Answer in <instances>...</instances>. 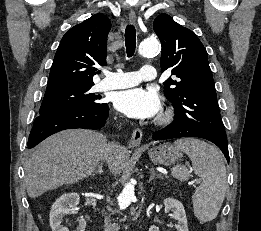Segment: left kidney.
<instances>
[{"label": "left kidney", "mask_w": 261, "mask_h": 231, "mask_svg": "<svg viewBox=\"0 0 261 231\" xmlns=\"http://www.w3.org/2000/svg\"><path fill=\"white\" fill-rule=\"evenodd\" d=\"M164 205L165 212H172L169 216L177 221V224H175L177 231H189L183 204L177 199L166 198L164 200ZM149 231H159V228L157 226H151Z\"/></svg>", "instance_id": "left-kidney-1"}]
</instances>
